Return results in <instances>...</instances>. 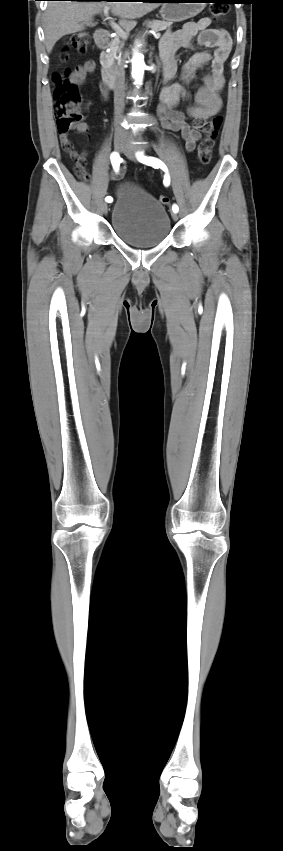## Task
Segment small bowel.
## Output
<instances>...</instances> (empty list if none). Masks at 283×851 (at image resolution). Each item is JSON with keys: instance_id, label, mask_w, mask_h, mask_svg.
<instances>
[{"instance_id": "obj_1", "label": "small bowel", "mask_w": 283, "mask_h": 851, "mask_svg": "<svg viewBox=\"0 0 283 851\" xmlns=\"http://www.w3.org/2000/svg\"><path fill=\"white\" fill-rule=\"evenodd\" d=\"M210 18H201L196 22H187L177 31H169L164 34L160 41V58L164 65V86L160 92V104L158 114L164 128L179 132L185 143L187 152L195 150L196 144L201 138L200 130L207 119L217 114L222 108L220 91L224 86V64L229 57L232 40L229 34L221 28H211ZM213 51H201L193 55L184 65L182 70V83H169L177 72L176 52L179 48H192L193 42ZM207 63H211V74L203 77L201 86L194 95V104L188 106L185 111L179 109L181 102L189 97L185 84L189 83L197 71ZM96 64L94 61H86L83 65L75 67L69 76L71 83L80 85L87 74L94 73ZM107 84L99 83L100 98L107 100L111 97ZM63 149L75 160L85 166L87 152H77L68 135H60Z\"/></svg>"}]
</instances>
